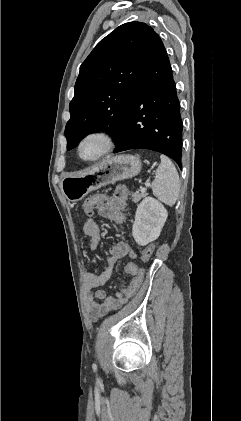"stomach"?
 Wrapping results in <instances>:
<instances>
[{
  "mask_svg": "<svg viewBox=\"0 0 241 421\" xmlns=\"http://www.w3.org/2000/svg\"><path fill=\"white\" fill-rule=\"evenodd\" d=\"M141 168L138 157L118 155L103 160L81 174L64 176L60 187L66 199L75 203L101 186L138 175Z\"/></svg>",
  "mask_w": 241,
  "mask_h": 421,
  "instance_id": "0dacf381",
  "label": "stomach"
}]
</instances>
